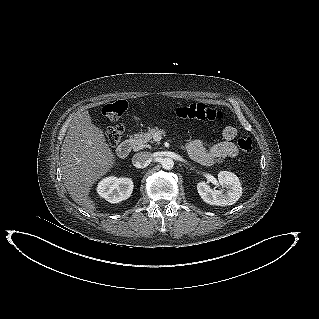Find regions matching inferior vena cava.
Wrapping results in <instances>:
<instances>
[{"label": "inferior vena cava", "instance_id": "inferior-vena-cava-1", "mask_svg": "<svg viewBox=\"0 0 319 319\" xmlns=\"http://www.w3.org/2000/svg\"><path fill=\"white\" fill-rule=\"evenodd\" d=\"M153 160V156L150 152L142 151L136 153L132 158V163L136 168L147 167Z\"/></svg>", "mask_w": 319, "mask_h": 319}]
</instances>
